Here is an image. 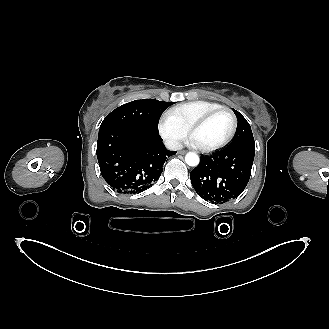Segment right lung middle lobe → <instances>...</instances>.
<instances>
[{
	"instance_id": "obj_1",
	"label": "right lung middle lobe",
	"mask_w": 329,
	"mask_h": 329,
	"mask_svg": "<svg viewBox=\"0 0 329 329\" xmlns=\"http://www.w3.org/2000/svg\"><path fill=\"white\" fill-rule=\"evenodd\" d=\"M174 103L155 99L134 100L108 114L104 118L100 129L108 126H122L159 133L158 122L161 114Z\"/></svg>"
}]
</instances>
